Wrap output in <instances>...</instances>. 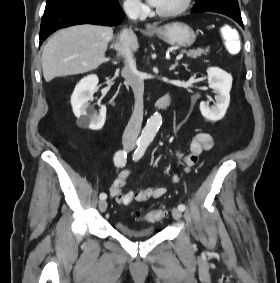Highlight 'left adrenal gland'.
Listing matches in <instances>:
<instances>
[{
  "instance_id": "1",
  "label": "left adrenal gland",
  "mask_w": 280,
  "mask_h": 283,
  "mask_svg": "<svg viewBox=\"0 0 280 283\" xmlns=\"http://www.w3.org/2000/svg\"><path fill=\"white\" fill-rule=\"evenodd\" d=\"M178 63H174L171 67H170V70H174L176 67H177Z\"/></svg>"
}]
</instances>
